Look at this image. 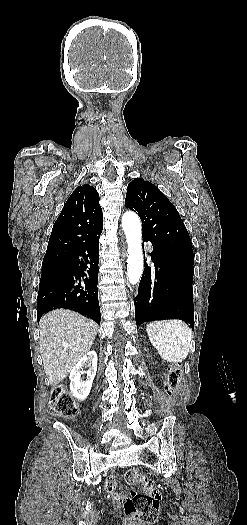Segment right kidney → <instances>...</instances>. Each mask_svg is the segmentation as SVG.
I'll return each instance as SVG.
<instances>
[{"label":"right kidney","instance_id":"1","mask_svg":"<svg viewBox=\"0 0 247 525\" xmlns=\"http://www.w3.org/2000/svg\"><path fill=\"white\" fill-rule=\"evenodd\" d=\"M97 361V353H95V351H89V353H86V355L80 359L79 363L73 367L69 377V387L77 401H85V399H87L95 379ZM83 367H88V371H83ZM83 375H86V377H83Z\"/></svg>","mask_w":247,"mask_h":525}]
</instances>
